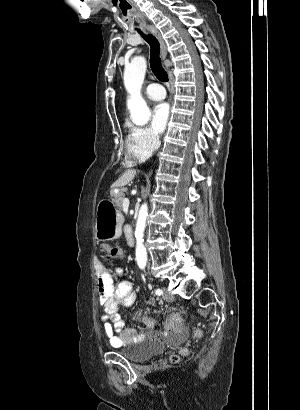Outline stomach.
<instances>
[{
	"label": "stomach",
	"instance_id": "1",
	"mask_svg": "<svg viewBox=\"0 0 300 410\" xmlns=\"http://www.w3.org/2000/svg\"><path fill=\"white\" fill-rule=\"evenodd\" d=\"M123 216L114 201L102 200L97 206L95 230L99 241L117 239L122 233Z\"/></svg>",
	"mask_w": 300,
	"mask_h": 410
}]
</instances>
